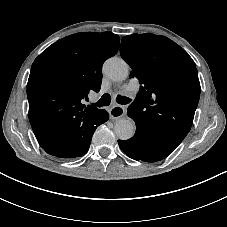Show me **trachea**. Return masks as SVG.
Segmentation results:
<instances>
[{"mask_svg": "<svg viewBox=\"0 0 227 227\" xmlns=\"http://www.w3.org/2000/svg\"><path fill=\"white\" fill-rule=\"evenodd\" d=\"M116 102L121 105H126L131 102V99L126 96L117 95ZM111 103V97L109 94H104L96 103L97 107L109 106Z\"/></svg>", "mask_w": 227, "mask_h": 227, "instance_id": "obj_1", "label": "trachea"}]
</instances>
